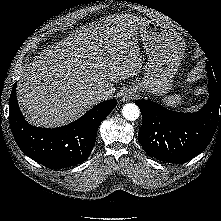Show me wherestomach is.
I'll return each mask as SVG.
<instances>
[{"label":"stomach","instance_id":"1","mask_svg":"<svg viewBox=\"0 0 221 221\" xmlns=\"http://www.w3.org/2000/svg\"><path fill=\"white\" fill-rule=\"evenodd\" d=\"M148 62L135 86L160 96L169 92L185 51V42L172 27L141 20L138 24Z\"/></svg>","mask_w":221,"mask_h":221}]
</instances>
